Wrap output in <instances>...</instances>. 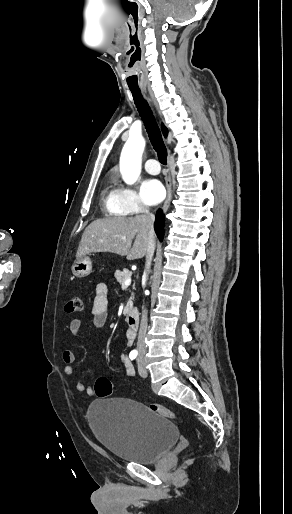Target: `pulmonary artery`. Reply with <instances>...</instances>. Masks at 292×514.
Instances as JSON below:
<instances>
[{
    "instance_id": "1",
    "label": "pulmonary artery",
    "mask_w": 292,
    "mask_h": 514,
    "mask_svg": "<svg viewBox=\"0 0 292 514\" xmlns=\"http://www.w3.org/2000/svg\"><path fill=\"white\" fill-rule=\"evenodd\" d=\"M147 163V172L150 174H156L160 168L157 158L151 156L148 158Z\"/></svg>"
}]
</instances>
